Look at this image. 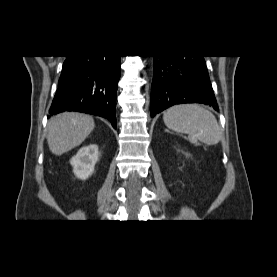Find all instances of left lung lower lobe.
Segmentation results:
<instances>
[{"label":"left lung lower lobe","mask_w":277,"mask_h":277,"mask_svg":"<svg viewBox=\"0 0 277 277\" xmlns=\"http://www.w3.org/2000/svg\"><path fill=\"white\" fill-rule=\"evenodd\" d=\"M150 113L175 104L204 103L218 111L204 56H153Z\"/></svg>","instance_id":"obj_1"}]
</instances>
